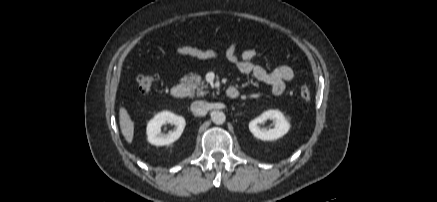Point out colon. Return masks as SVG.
Returning a JSON list of instances; mask_svg holds the SVG:
<instances>
[{
    "label": "colon",
    "mask_w": 437,
    "mask_h": 202,
    "mask_svg": "<svg viewBox=\"0 0 437 202\" xmlns=\"http://www.w3.org/2000/svg\"><path fill=\"white\" fill-rule=\"evenodd\" d=\"M136 80L138 89L141 93H148L156 84V77L152 74H139ZM299 95L303 101L308 102L311 99L312 93L308 87L303 86L300 89Z\"/></svg>",
    "instance_id": "5ec220e1"
}]
</instances>
